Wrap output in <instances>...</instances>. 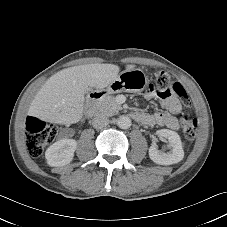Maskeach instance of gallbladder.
<instances>
[{"label": "gallbladder", "mask_w": 227, "mask_h": 227, "mask_svg": "<svg viewBox=\"0 0 227 227\" xmlns=\"http://www.w3.org/2000/svg\"><path fill=\"white\" fill-rule=\"evenodd\" d=\"M90 90H91V88H88V89H87V92L90 91Z\"/></svg>", "instance_id": "obj_1"}]
</instances>
